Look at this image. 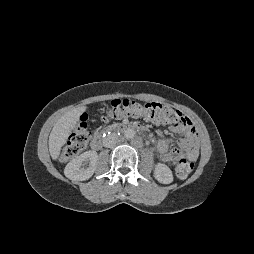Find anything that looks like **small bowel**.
Listing matches in <instances>:
<instances>
[{
    "mask_svg": "<svg viewBox=\"0 0 254 254\" xmlns=\"http://www.w3.org/2000/svg\"><path fill=\"white\" fill-rule=\"evenodd\" d=\"M172 131L178 134H183L184 137L177 140L179 148L170 150L173 142L171 138L164 137L157 143V149L160 157L165 162H175L186 156L189 160H196L198 157V146L194 136L195 128L192 126L191 121L185 126H172Z\"/></svg>",
    "mask_w": 254,
    "mask_h": 254,
    "instance_id": "c3829d8e",
    "label": "small bowel"
}]
</instances>
